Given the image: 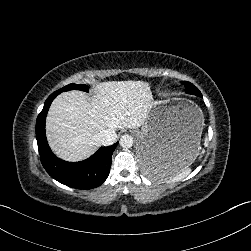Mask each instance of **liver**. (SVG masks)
Masks as SVG:
<instances>
[{
  "instance_id": "obj_1",
  "label": "liver",
  "mask_w": 251,
  "mask_h": 251,
  "mask_svg": "<svg viewBox=\"0 0 251 251\" xmlns=\"http://www.w3.org/2000/svg\"><path fill=\"white\" fill-rule=\"evenodd\" d=\"M95 94L70 90L51 103L45 119V134L53 154L69 163L90 158L101 143L104 130L137 129L152 105L151 83L144 80L99 82Z\"/></svg>"
}]
</instances>
